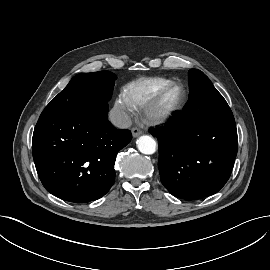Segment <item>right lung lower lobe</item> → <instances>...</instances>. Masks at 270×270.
I'll list each match as a JSON object with an SVG mask.
<instances>
[{"label":"right lung lower lobe","instance_id":"98d812e1","mask_svg":"<svg viewBox=\"0 0 270 270\" xmlns=\"http://www.w3.org/2000/svg\"><path fill=\"white\" fill-rule=\"evenodd\" d=\"M108 104L80 112L41 115L32 151L39 178L48 192L70 202L104 196L115 181L117 153L132 138L107 117Z\"/></svg>","mask_w":270,"mask_h":270}]
</instances>
